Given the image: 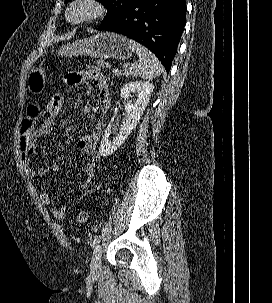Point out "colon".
Segmentation results:
<instances>
[{
    "mask_svg": "<svg viewBox=\"0 0 272 303\" xmlns=\"http://www.w3.org/2000/svg\"><path fill=\"white\" fill-rule=\"evenodd\" d=\"M95 63L100 70L107 71L116 78L122 76V70L107 59L99 58L95 61ZM63 103L64 96L60 90H57L51 94L45 108L42 122L40 124L41 129L51 133L56 129ZM87 218L88 212L85 210H81L76 215V221L79 223L85 222Z\"/></svg>",
    "mask_w": 272,
    "mask_h": 303,
    "instance_id": "obj_1",
    "label": "colon"
}]
</instances>
